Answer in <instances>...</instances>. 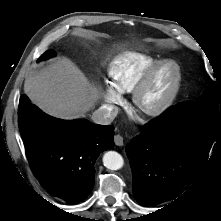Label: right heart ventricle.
Returning <instances> with one entry per match:
<instances>
[{
  "label": "right heart ventricle",
  "mask_w": 221,
  "mask_h": 221,
  "mask_svg": "<svg viewBox=\"0 0 221 221\" xmlns=\"http://www.w3.org/2000/svg\"><path fill=\"white\" fill-rule=\"evenodd\" d=\"M158 59L143 53L129 52L117 57L109 67L112 86L119 92H131Z\"/></svg>",
  "instance_id": "right-heart-ventricle-1"
}]
</instances>
